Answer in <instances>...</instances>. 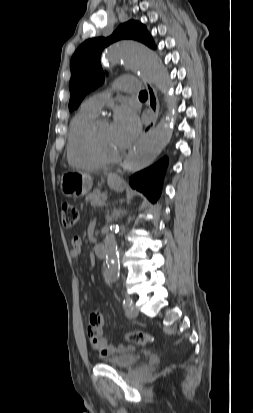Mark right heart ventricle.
I'll return each mask as SVG.
<instances>
[{
    "label": "right heart ventricle",
    "mask_w": 253,
    "mask_h": 413,
    "mask_svg": "<svg viewBox=\"0 0 253 413\" xmlns=\"http://www.w3.org/2000/svg\"><path fill=\"white\" fill-rule=\"evenodd\" d=\"M96 118L97 113L82 106L71 121L66 153L68 162L75 167L96 169L101 166L91 154L87 142L88 129Z\"/></svg>",
    "instance_id": "e07e8e85"
}]
</instances>
